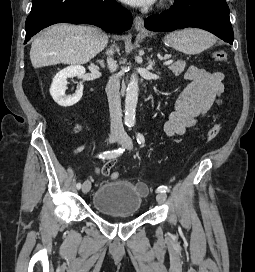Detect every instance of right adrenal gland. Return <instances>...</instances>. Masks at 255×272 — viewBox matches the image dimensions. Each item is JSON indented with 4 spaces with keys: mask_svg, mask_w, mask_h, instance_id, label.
I'll use <instances>...</instances> for the list:
<instances>
[{
    "mask_svg": "<svg viewBox=\"0 0 255 272\" xmlns=\"http://www.w3.org/2000/svg\"><path fill=\"white\" fill-rule=\"evenodd\" d=\"M98 63L100 64L101 67H105V63L103 60H98Z\"/></svg>",
    "mask_w": 255,
    "mask_h": 272,
    "instance_id": "2a0ac1e0",
    "label": "right adrenal gland"
}]
</instances>
